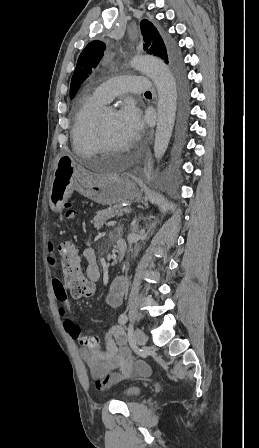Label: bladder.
I'll return each mask as SVG.
<instances>
[{
	"mask_svg": "<svg viewBox=\"0 0 259 448\" xmlns=\"http://www.w3.org/2000/svg\"><path fill=\"white\" fill-rule=\"evenodd\" d=\"M142 391H143L142 388L139 386H130L123 390L122 395L126 399H134V398L140 396Z\"/></svg>",
	"mask_w": 259,
	"mask_h": 448,
	"instance_id": "bladder-1",
	"label": "bladder"
}]
</instances>
